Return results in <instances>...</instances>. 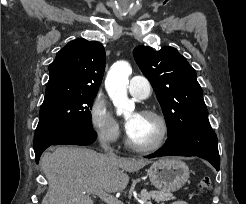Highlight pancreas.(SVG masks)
Listing matches in <instances>:
<instances>
[{"instance_id": "1", "label": "pancreas", "mask_w": 246, "mask_h": 204, "mask_svg": "<svg viewBox=\"0 0 246 204\" xmlns=\"http://www.w3.org/2000/svg\"><path fill=\"white\" fill-rule=\"evenodd\" d=\"M139 197L144 201H149L151 199L157 201V202H164L168 200L175 199L173 194L168 191H146L143 190L139 194Z\"/></svg>"}]
</instances>
